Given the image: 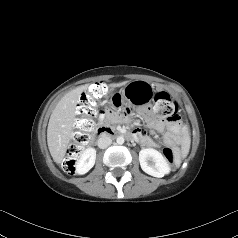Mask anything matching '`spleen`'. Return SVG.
Returning <instances> with one entry per match:
<instances>
[{
    "label": "spleen",
    "instance_id": "1",
    "mask_svg": "<svg viewBox=\"0 0 238 238\" xmlns=\"http://www.w3.org/2000/svg\"><path fill=\"white\" fill-rule=\"evenodd\" d=\"M189 145H190V139H189V136H188L186 141H185V154L187 153V151L189 149Z\"/></svg>",
    "mask_w": 238,
    "mask_h": 238
}]
</instances>
